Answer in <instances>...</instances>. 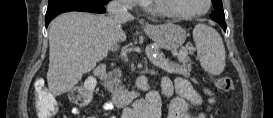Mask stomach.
Returning a JSON list of instances; mask_svg holds the SVG:
<instances>
[{"label": "stomach", "mask_w": 273, "mask_h": 118, "mask_svg": "<svg viewBox=\"0 0 273 118\" xmlns=\"http://www.w3.org/2000/svg\"><path fill=\"white\" fill-rule=\"evenodd\" d=\"M145 32L156 44L165 50L179 48L187 37L186 31L173 23L147 25Z\"/></svg>", "instance_id": "obj_1"}]
</instances>
